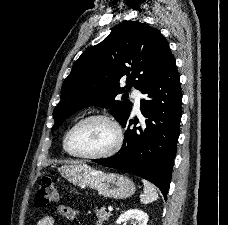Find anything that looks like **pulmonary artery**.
Listing matches in <instances>:
<instances>
[{"instance_id": "obj_1", "label": "pulmonary artery", "mask_w": 228, "mask_h": 225, "mask_svg": "<svg viewBox=\"0 0 228 225\" xmlns=\"http://www.w3.org/2000/svg\"><path fill=\"white\" fill-rule=\"evenodd\" d=\"M132 99L135 112H139L141 100L144 98L142 92L140 90L134 89L132 91Z\"/></svg>"}]
</instances>
